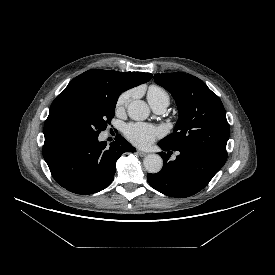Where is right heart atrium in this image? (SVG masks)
I'll list each match as a JSON object with an SVG mask.
<instances>
[{
	"instance_id": "right-heart-atrium-1",
	"label": "right heart atrium",
	"mask_w": 275,
	"mask_h": 275,
	"mask_svg": "<svg viewBox=\"0 0 275 275\" xmlns=\"http://www.w3.org/2000/svg\"><path fill=\"white\" fill-rule=\"evenodd\" d=\"M131 96H132V93L130 91H125L119 95L115 104L116 112L120 113L125 109Z\"/></svg>"
}]
</instances>
